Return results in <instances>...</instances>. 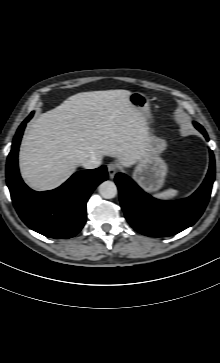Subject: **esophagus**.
Here are the masks:
<instances>
[{
	"label": "esophagus",
	"mask_w": 220,
	"mask_h": 363,
	"mask_svg": "<svg viewBox=\"0 0 220 363\" xmlns=\"http://www.w3.org/2000/svg\"><path fill=\"white\" fill-rule=\"evenodd\" d=\"M107 170H108L109 177L111 179H113L118 171V167L115 163H110L107 165Z\"/></svg>",
	"instance_id": "1"
}]
</instances>
